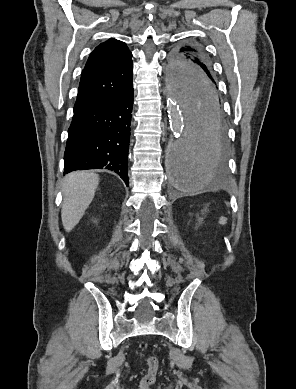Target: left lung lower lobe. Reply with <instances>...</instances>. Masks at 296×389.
Masks as SVG:
<instances>
[{
	"label": "left lung lower lobe",
	"mask_w": 296,
	"mask_h": 389,
	"mask_svg": "<svg viewBox=\"0 0 296 389\" xmlns=\"http://www.w3.org/2000/svg\"><path fill=\"white\" fill-rule=\"evenodd\" d=\"M184 96L200 97L202 110L207 112V122L197 132H190L177 161L176 171L187 180L215 177L225 174L227 154L226 123L215 80L197 76L191 83L179 86Z\"/></svg>",
	"instance_id": "obj_1"
}]
</instances>
